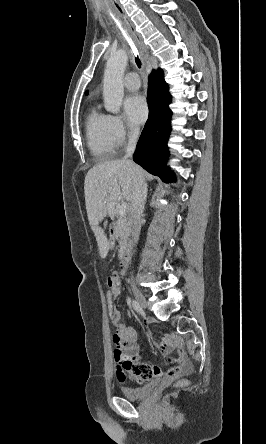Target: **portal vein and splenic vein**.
Listing matches in <instances>:
<instances>
[{
    "instance_id": "obj_1",
    "label": "portal vein and splenic vein",
    "mask_w": 266,
    "mask_h": 444,
    "mask_svg": "<svg viewBox=\"0 0 266 444\" xmlns=\"http://www.w3.org/2000/svg\"><path fill=\"white\" fill-rule=\"evenodd\" d=\"M126 210H127V203L126 202H122L120 207H119V214L120 215H124Z\"/></svg>"
}]
</instances>
